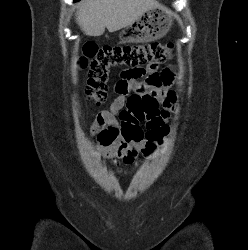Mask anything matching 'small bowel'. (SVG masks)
Wrapping results in <instances>:
<instances>
[{
	"label": "small bowel",
	"instance_id": "c3829d8e",
	"mask_svg": "<svg viewBox=\"0 0 248 250\" xmlns=\"http://www.w3.org/2000/svg\"><path fill=\"white\" fill-rule=\"evenodd\" d=\"M158 73L157 67L148 66L141 74L149 78ZM117 98L109 110L100 111L90 126V133L96 136L104 157L115 160L117 164L132 165L137 162L139 153L149 156L154 151L153 142L167 132L165 125L168 117L167 108H159L144 120H138L133 112L124 109L128 103L130 92L149 93L158 99H164L165 88H158L144 83L137 77L127 75L115 84ZM171 101H165L168 107ZM119 117V120L117 119ZM140 121L146 122V130L139 126Z\"/></svg>",
	"mask_w": 248,
	"mask_h": 250
}]
</instances>
